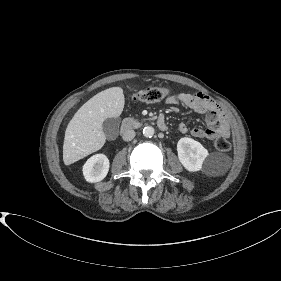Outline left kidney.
<instances>
[{"label": "left kidney", "mask_w": 281, "mask_h": 281, "mask_svg": "<svg viewBox=\"0 0 281 281\" xmlns=\"http://www.w3.org/2000/svg\"><path fill=\"white\" fill-rule=\"evenodd\" d=\"M178 158L181 164L190 172L202 169L203 162L208 156V151L198 141L184 137L177 143Z\"/></svg>", "instance_id": "obj_1"}]
</instances>
